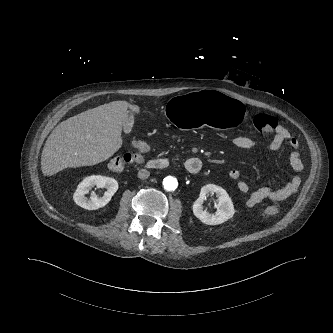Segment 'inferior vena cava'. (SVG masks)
Masks as SVG:
<instances>
[{"label":"inferior vena cava","instance_id":"inferior-vena-cava-1","mask_svg":"<svg viewBox=\"0 0 333 333\" xmlns=\"http://www.w3.org/2000/svg\"><path fill=\"white\" fill-rule=\"evenodd\" d=\"M137 175H138V178L144 180L150 176V172L146 169H141V170H139Z\"/></svg>","mask_w":333,"mask_h":333}]
</instances>
